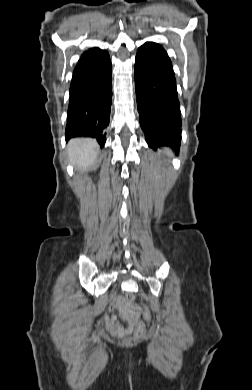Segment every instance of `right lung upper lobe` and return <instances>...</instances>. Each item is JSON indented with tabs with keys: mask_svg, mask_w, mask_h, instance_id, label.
I'll use <instances>...</instances> for the list:
<instances>
[{
	"mask_svg": "<svg viewBox=\"0 0 252 390\" xmlns=\"http://www.w3.org/2000/svg\"><path fill=\"white\" fill-rule=\"evenodd\" d=\"M111 65L109 54L100 48L88 49L83 53L74 69L72 81L98 75Z\"/></svg>",
	"mask_w": 252,
	"mask_h": 390,
	"instance_id": "right-lung-upper-lobe-1",
	"label": "right lung upper lobe"
}]
</instances>
